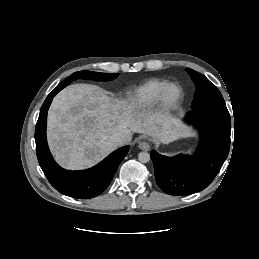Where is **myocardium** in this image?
Returning a JSON list of instances; mask_svg holds the SVG:
<instances>
[{"instance_id": "myocardium-1", "label": "myocardium", "mask_w": 259, "mask_h": 259, "mask_svg": "<svg viewBox=\"0 0 259 259\" xmlns=\"http://www.w3.org/2000/svg\"><path fill=\"white\" fill-rule=\"evenodd\" d=\"M172 89L175 90L174 96L169 95ZM184 96V90L180 84L174 82L168 83L160 93L158 105L164 114H171L180 107Z\"/></svg>"}]
</instances>
